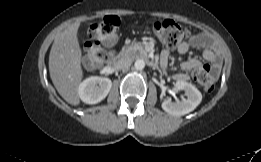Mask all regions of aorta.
<instances>
[{
  "label": "aorta",
  "mask_w": 261,
  "mask_h": 162,
  "mask_svg": "<svg viewBox=\"0 0 261 162\" xmlns=\"http://www.w3.org/2000/svg\"><path fill=\"white\" fill-rule=\"evenodd\" d=\"M134 67L136 70H143L145 67V62L142 59H138L135 61Z\"/></svg>",
  "instance_id": "1"
}]
</instances>
